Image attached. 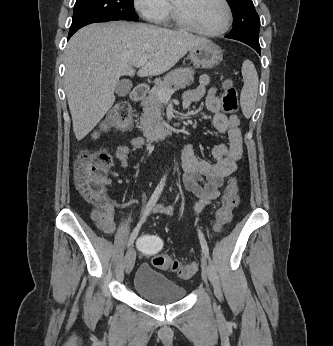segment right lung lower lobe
<instances>
[{"instance_id": "98d812e1", "label": "right lung lower lobe", "mask_w": 333, "mask_h": 346, "mask_svg": "<svg viewBox=\"0 0 333 346\" xmlns=\"http://www.w3.org/2000/svg\"><path fill=\"white\" fill-rule=\"evenodd\" d=\"M75 32H71V33H69V35H68V39L74 34Z\"/></svg>"}]
</instances>
